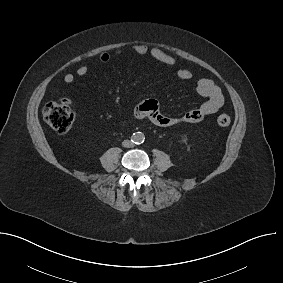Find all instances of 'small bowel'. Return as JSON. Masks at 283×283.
<instances>
[{
  "label": "small bowel",
  "instance_id": "c3829d8e",
  "mask_svg": "<svg viewBox=\"0 0 283 283\" xmlns=\"http://www.w3.org/2000/svg\"><path fill=\"white\" fill-rule=\"evenodd\" d=\"M134 54L137 55H149L153 59L163 64L173 66L176 63V59L157 47H149L144 44H136L131 47ZM121 51L117 50L115 55H120ZM112 59V54L103 52L98 58V62L106 64ZM89 72L87 66H80L75 74L68 73L64 76V81L67 84H72L76 77H83ZM176 76L180 80H190L193 74L188 69H179L176 72ZM196 92L206 98L199 107L186 112L183 116L176 118L163 114L160 110L159 103L155 99H147L140 102L134 109V116L140 120H147L156 126L169 127L179 123H198L202 121L206 116L211 115L219 111L224 105V96L221 89L211 80L207 78H201L196 82Z\"/></svg>",
  "mask_w": 283,
  "mask_h": 283
}]
</instances>
